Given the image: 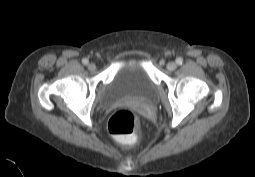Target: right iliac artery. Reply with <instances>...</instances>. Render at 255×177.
Returning <instances> with one entry per match:
<instances>
[{
    "label": "right iliac artery",
    "instance_id": "82829eb1",
    "mask_svg": "<svg viewBox=\"0 0 255 177\" xmlns=\"http://www.w3.org/2000/svg\"><path fill=\"white\" fill-rule=\"evenodd\" d=\"M82 63H83L84 65H87V64L89 63V61H88V59L84 58V59L82 60Z\"/></svg>",
    "mask_w": 255,
    "mask_h": 177
}]
</instances>
